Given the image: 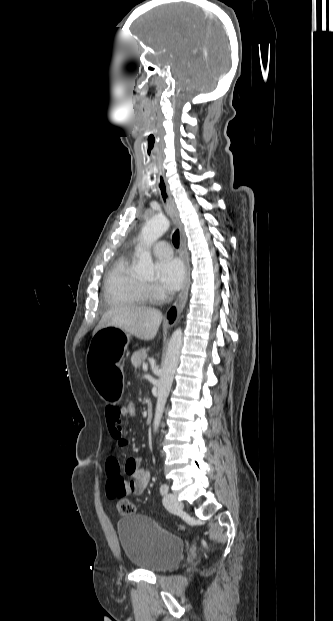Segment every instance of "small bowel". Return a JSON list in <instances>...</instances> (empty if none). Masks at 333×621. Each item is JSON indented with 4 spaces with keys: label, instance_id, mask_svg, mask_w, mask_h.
I'll return each mask as SVG.
<instances>
[{
    "label": "small bowel",
    "instance_id": "c3829d8e",
    "mask_svg": "<svg viewBox=\"0 0 333 621\" xmlns=\"http://www.w3.org/2000/svg\"><path fill=\"white\" fill-rule=\"evenodd\" d=\"M123 412L118 405H108L105 408V421L109 435L118 441L119 445L127 444L121 427ZM139 458H129L121 465L115 457L106 461L107 483L106 494L110 499H122L130 495H140L147 488L150 481L149 472L141 467ZM122 474L130 477L125 480Z\"/></svg>",
    "mask_w": 333,
    "mask_h": 621
}]
</instances>
